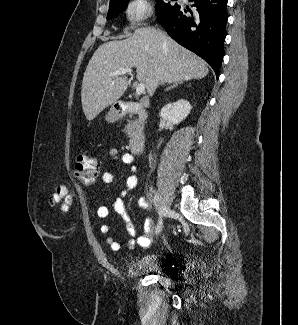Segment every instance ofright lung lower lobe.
Masks as SVG:
<instances>
[{
    "instance_id": "98d812e1",
    "label": "right lung lower lobe",
    "mask_w": 298,
    "mask_h": 325,
    "mask_svg": "<svg viewBox=\"0 0 298 325\" xmlns=\"http://www.w3.org/2000/svg\"><path fill=\"white\" fill-rule=\"evenodd\" d=\"M189 1L195 2L192 17L177 4L159 15L157 22L175 41L203 58L218 76L226 37L227 0Z\"/></svg>"
}]
</instances>
